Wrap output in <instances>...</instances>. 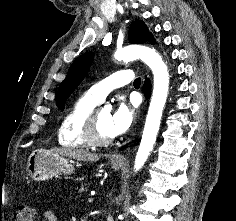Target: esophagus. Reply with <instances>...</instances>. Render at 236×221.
Segmentation results:
<instances>
[{
	"mask_svg": "<svg viewBox=\"0 0 236 221\" xmlns=\"http://www.w3.org/2000/svg\"><path fill=\"white\" fill-rule=\"evenodd\" d=\"M112 161L113 162H123L124 158L121 155H117V156L113 157Z\"/></svg>",
	"mask_w": 236,
	"mask_h": 221,
	"instance_id": "esophagus-1",
	"label": "esophagus"
}]
</instances>
